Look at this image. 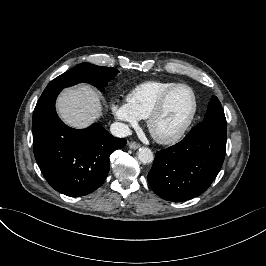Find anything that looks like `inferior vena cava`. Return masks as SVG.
Masks as SVG:
<instances>
[{
  "mask_svg": "<svg viewBox=\"0 0 266 266\" xmlns=\"http://www.w3.org/2000/svg\"><path fill=\"white\" fill-rule=\"evenodd\" d=\"M110 132L113 136L123 138L132 134L128 125L120 122H114L110 126Z\"/></svg>",
  "mask_w": 266,
  "mask_h": 266,
  "instance_id": "obj_1",
  "label": "inferior vena cava"
}]
</instances>
